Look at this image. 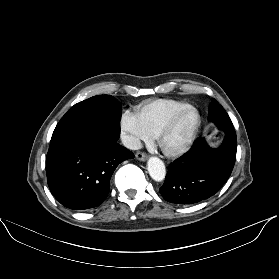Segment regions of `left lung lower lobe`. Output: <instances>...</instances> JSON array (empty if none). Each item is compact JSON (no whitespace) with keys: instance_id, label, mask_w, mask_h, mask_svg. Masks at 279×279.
<instances>
[{"instance_id":"0a47b994","label":"left lung lower lobe","mask_w":279,"mask_h":279,"mask_svg":"<svg viewBox=\"0 0 279 279\" xmlns=\"http://www.w3.org/2000/svg\"><path fill=\"white\" fill-rule=\"evenodd\" d=\"M219 148H211L204 138L197 139L189 152L170 164L163 186V198L171 203L188 205L217 193L231 175L236 159L237 140L232 125Z\"/></svg>"}]
</instances>
